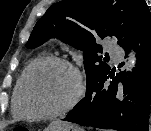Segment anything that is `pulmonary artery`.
<instances>
[{
  "mask_svg": "<svg viewBox=\"0 0 151 131\" xmlns=\"http://www.w3.org/2000/svg\"><path fill=\"white\" fill-rule=\"evenodd\" d=\"M110 52L112 54V56L116 59V60H121L123 57V51L120 47H118L117 45L113 44L112 42L108 43Z\"/></svg>",
  "mask_w": 151,
  "mask_h": 131,
  "instance_id": "obj_1",
  "label": "pulmonary artery"
}]
</instances>
